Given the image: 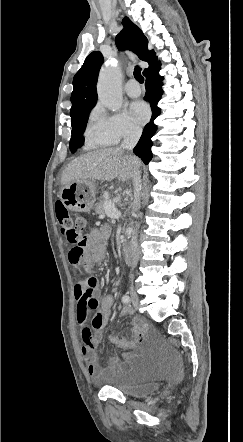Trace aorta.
<instances>
[{"mask_svg":"<svg viewBox=\"0 0 243 442\" xmlns=\"http://www.w3.org/2000/svg\"><path fill=\"white\" fill-rule=\"evenodd\" d=\"M98 97L101 103L111 111L122 107L121 72L118 66L108 65L101 69L97 83ZM133 233V226L126 229V235Z\"/></svg>","mask_w":243,"mask_h":442,"instance_id":"762f6f07","label":"aorta"}]
</instances>
